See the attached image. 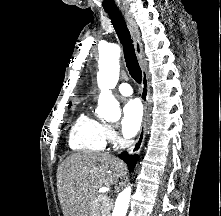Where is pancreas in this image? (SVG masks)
<instances>
[{"label": "pancreas", "instance_id": "obj_1", "mask_svg": "<svg viewBox=\"0 0 221 216\" xmlns=\"http://www.w3.org/2000/svg\"><path fill=\"white\" fill-rule=\"evenodd\" d=\"M91 216H110L109 204L104 200L103 197H96L93 205Z\"/></svg>", "mask_w": 221, "mask_h": 216}]
</instances>
